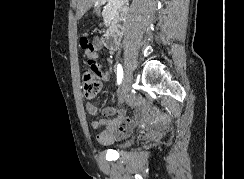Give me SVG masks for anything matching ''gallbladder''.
Masks as SVG:
<instances>
[{
	"mask_svg": "<svg viewBox=\"0 0 244 179\" xmlns=\"http://www.w3.org/2000/svg\"><path fill=\"white\" fill-rule=\"evenodd\" d=\"M94 12H95V14H97V16H99V14H100V8H95Z\"/></svg>",
	"mask_w": 244,
	"mask_h": 179,
	"instance_id": "gallbladder-1",
	"label": "gallbladder"
}]
</instances>
